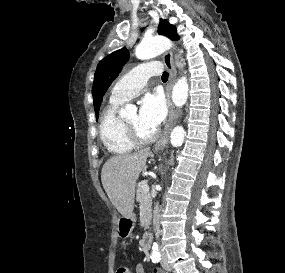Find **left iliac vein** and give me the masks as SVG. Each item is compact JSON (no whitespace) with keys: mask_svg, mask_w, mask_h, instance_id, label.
<instances>
[{"mask_svg":"<svg viewBox=\"0 0 285 273\" xmlns=\"http://www.w3.org/2000/svg\"><path fill=\"white\" fill-rule=\"evenodd\" d=\"M162 267L166 271H171V266L169 265L165 254L162 256Z\"/></svg>","mask_w":285,"mask_h":273,"instance_id":"1","label":"left iliac vein"}]
</instances>
